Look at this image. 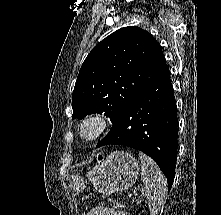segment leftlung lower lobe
<instances>
[{"label": "left lung lower lobe", "instance_id": "left-lung-lower-lobe-1", "mask_svg": "<svg viewBox=\"0 0 221 215\" xmlns=\"http://www.w3.org/2000/svg\"><path fill=\"white\" fill-rule=\"evenodd\" d=\"M104 145L129 146L147 154L158 164L171 189L177 158V122L168 66L130 103L96 147Z\"/></svg>", "mask_w": 221, "mask_h": 215}]
</instances>
